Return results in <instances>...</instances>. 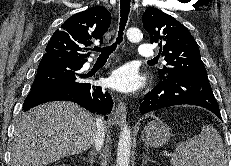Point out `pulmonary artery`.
Instances as JSON below:
<instances>
[{"instance_id": "1", "label": "pulmonary artery", "mask_w": 231, "mask_h": 166, "mask_svg": "<svg viewBox=\"0 0 231 166\" xmlns=\"http://www.w3.org/2000/svg\"><path fill=\"white\" fill-rule=\"evenodd\" d=\"M138 54L144 58H152L155 56V50L149 44H141L138 48Z\"/></svg>"}]
</instances>
